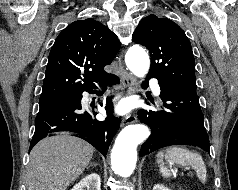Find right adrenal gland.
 <instances>
[{
    "label": "right adrenal gland",
    "instance_id": "1",
    "mask_svg": "<svg viewBox=\"0 0 238 190\" xmlns=\"http://www.w3.org/2000/svg\"><path fill=\"white\" fill-rule=\"evenodd\" d=\"M91 166H97V164L90 163V165L87 167V169H89Z\"/></svg>",
    "mask_w": 238,
    "mask_h": 190
}]
</instances>
